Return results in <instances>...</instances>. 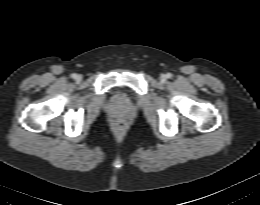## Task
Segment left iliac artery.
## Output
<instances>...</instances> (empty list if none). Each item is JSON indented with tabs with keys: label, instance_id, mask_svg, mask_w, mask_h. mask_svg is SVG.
<instances>
[{
	"label": "left iliac artery",
	"instance_id": "obj_1",
	"mask_svg": "<svg viewBox=\"0 0 260 205\" xmlns=\"http://www.w3.org/2000/svg\"><path fill=\"white\" fill-rule=\"evenodd\" d=\"M166 77L170 79V78H172V74L171 73H167Z\"/></svg>",
	"mask_w": 260,
	"mask_h": 205
}]
</instances>
